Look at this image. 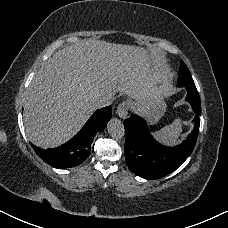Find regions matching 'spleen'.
<instances>
[{"label":"spleen","mask_w":228,"mask_h":228,"mask_svg":"<svg viewBox=\"0 0 228 228\" xmlns=\"http://www.w3.org/2000/svg\"><path fill=\"white\" fill-rule=\"evenodd\" d=\"M182 132V120L175 119L170 125H166L161 130L153 133L154 137L167 145H172L177 142L178 137Z\"/></svg>","instance_id":"1"}]
</instances>
